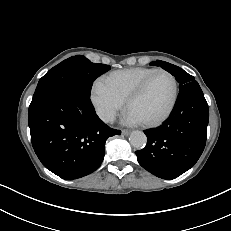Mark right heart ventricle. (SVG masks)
Segmentation results:
<instances>
[{"label":"right heart ventricle","instance_id":"e07e8e85","mask_svg":"<svg viewBox=\"0 0 231 231\" xmlns=\"http://www.w3.org/2000/svg\"><path fill=\"white\" fill-rule=\"evenodd\" d=\"M153 70L155 69L147 67L117 70L103 77L101 83L120 100L125 102L128 95Z\"/></svg>","mask_w":231,"mask_h":231}]
</instances>
